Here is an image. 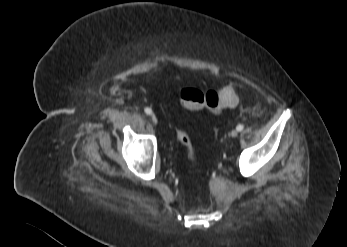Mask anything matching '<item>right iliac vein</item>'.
<instances>
[{
  "mask_svg": "<svg viewBox=\"0 0 347 247\" xmlns=\"http://www.w3.org/2000/svg\"><path fill=\"white\" fill-rule=\"evenodd\" d=\"M150 118L155 125L158 123V119L154 114H151Z\"/></svg>",
  "mask_w": 347,
  "mask_h": 247,
  "instance_id": "right-iliac-vein-1",
  "label": "right iliac vein"
}]
</instances>
